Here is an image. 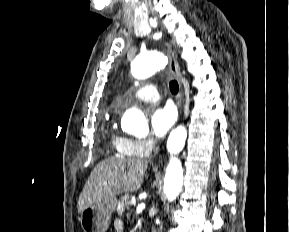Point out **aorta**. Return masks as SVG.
Instances as JSON below:
<instances>
[{
  "label": "aorta",
  "instance_id": "obj_1",
  "mask_svg": "<svg viewBox=\"0 0 289 232\" xmlns=\"http://www.w3.org/2000/svg\"><path fill=\"white\" fill-rule=\"evenodd\" d=\"M166 58L162 52L150 51L138 55L132 63V74L137 79H146L157 71L164 69ZM122 129L135 136H144L149 127L142 111L133 107L128 109L121 122ZM187 138V130L184 126L174 129L167 141V150L170 153V161L166 169L164 179V194L168 201H174L182 190L183 169L177 155L184 147Z\"/></svg>",
  "mask_w": 289,
  "mask_h": 232
}]
</instances>
